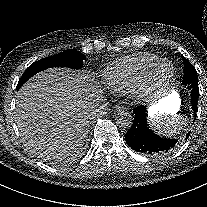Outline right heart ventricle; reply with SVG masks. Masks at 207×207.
<instances>
[{"label":"right heart ventricle","instance_id":"1","mask_svg":"<svg viewBox=\"0 0 207 207\" xmlns=\"http://www.w3.org/2000/svg\"><path fill=\"white\" fill-rule=\"evenodd\" d=\"M160 58L153 54H138L112 64L104 72V82L112 95L134 94L144 85L146 72Z\"/></svg>","mask_w":207,"mask_h":207}]
</instances>
